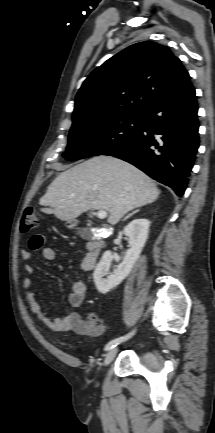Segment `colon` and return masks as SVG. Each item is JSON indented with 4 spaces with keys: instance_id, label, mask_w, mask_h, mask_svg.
I'll return each instance as SVG.
<instances>
[{
    "instance_id": "1",
    "label": "colon",
    "mask_w": 215,
    "mask_h": 433,
    "mask_svg": "<svg viewBox=\"0 0 215 433\" xmlns=\"http://www.w3.org/2000/svg\"><path fill=\"white\" fill-rule=\"evenodd\" d=\"M39 225V216L37 214L36 207L28 206L24 209L21 221L20 230L23 233L36 229ZM90 320H94V317H90Z\"/></svg>"
}]
</instances>
